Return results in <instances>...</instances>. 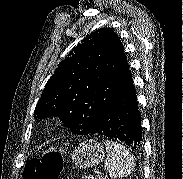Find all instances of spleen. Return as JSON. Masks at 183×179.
<instances>
[{"label":"spleen","instance_id":"spleen-1","mask_svg":"<svg viewBox=\"0 0 183 179\" xmlns=\"http://www.w3.org/2000/svg\"><path fill=\"white\" fill-rule=\"evenodd\" d=\"M105 146L107 155L104 167L111 178H122L134 171V157L125 146L112 140H107Z\"/></svg>","mask_w":183,"mask_h":179}]
</instances>
